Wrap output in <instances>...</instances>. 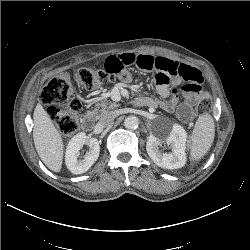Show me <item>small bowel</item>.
<instances>
[{
  "mask_svg": "<svg viewBox=\"0 0 250 250\" xmlns=\"http://www.w3.org/2000/svg\"><path fill=\"white\" fill-rule=\"evenodd\" d=\"M130 65H135L144 71L155 72V85L162 100L142 98L141 103L150 106L159 105L167 111L176 110L177 117L184 123H189L193 119V106L202 91L203 82L202 74L197 68L165 57L125 53L107 58L104 69L115 72L122 82L128 83L131 75L126 67ZM182 82H184L182 88L184 101L178 104L177 91L171 86H177Z\"/></svg>",
  "mask_w": 250,
  "mask_h": 250,
  "instance_id": "obj_1",
  "label": "small bowel"
}]
</instances>
